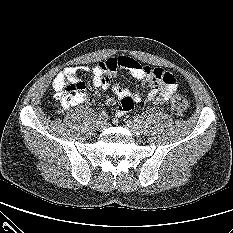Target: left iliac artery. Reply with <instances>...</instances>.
I'll list each match as a JSON object with an SVG mask.
<instances>
[{"mask_svg": "<svg viewBox=\"0 0 233 233\" xmlns=\"http://www.w3.org/2000/svg\"><path fill=\"white\" fill-rule=\"evenodd\" d=\"M134 121L137 122V123H140L141 122V117H138V116L134 117Z\"/></svg>", "mask_w": 233, "mask_h": 233, "instance_id": "1", "label": "left iliac artery"}]
</instances>
